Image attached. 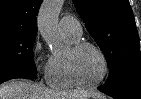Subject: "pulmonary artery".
<instances>
[{"mask_svg": "<svg viewBox=\"0 0 141 99\" xmlns=\"http://www.w3.org/2000/svg\"><path fill=\"white\" fill-rule=\"evenodd\" d=\"M59 27L66 35H70L75 38H80L82 36V26L80 22L71 15L63 16L59 22Z\"/></svg>", "mask_w": 141, "mask_h": 99, "instance_id": "e3ab8cb5", "label": "pulmonary artery"}]
</instances>
